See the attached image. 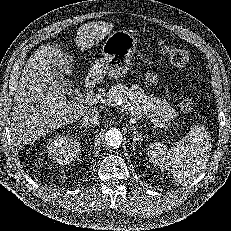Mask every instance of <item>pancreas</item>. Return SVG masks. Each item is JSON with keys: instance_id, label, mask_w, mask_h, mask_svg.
Here are the masks:
<instances>
[{"instance_id": "cf45deb5", "label": "pancreas", "mask_w": 231, "mask_h": 231, "mask_svg": "<svg viewBox=\"0 0 231 231\" xmlns=\"http://www.w3.org/2000/svg\"><path fill=\"white\" fill-rule=\"evenodd\" d=\"M105 98L113 104L121 101L131 117H154L170 125L177 116L175 109L165 98L147 95L137 85L127 87L117 83L108 90Z\"/></svg>"}]
</instances>
